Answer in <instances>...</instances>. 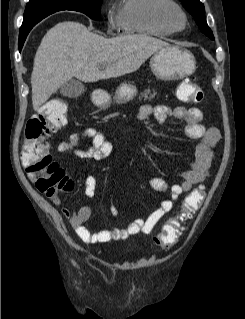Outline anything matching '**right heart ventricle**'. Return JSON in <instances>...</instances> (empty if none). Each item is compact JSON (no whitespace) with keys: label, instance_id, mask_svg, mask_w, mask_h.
Listing matches in <instances>:
<instances>
[{"label":"right heart ventricle","instance_id":"1","mask_svg":"<svg viewBox=\"0 0 245 319\" xmlns=\"http://www.w3.org/2000/svg\"><path fill=\"white\" fill-rule=\"evenodd\" d=\"M170 0H122L117 17L120 28L128 33L167 36L173 31L158 15L159 6Z\"/></svg>","mask_w":245,"mask_h":319}]
</instances>
